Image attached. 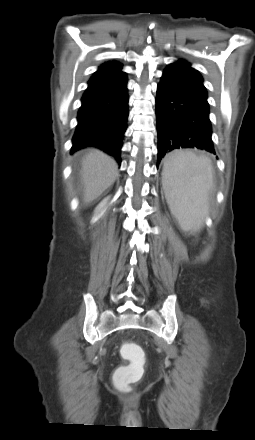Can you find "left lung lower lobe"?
Returning a JSON list of instances; mask_svg holds the SVG:
<instances>
[{
	"label": "left lung lower lobe",
	"instance_id": "0a47b994",
	"mask_svg": "<svg viewBox=\"0 0 255 440\" xmlns=\"http://www.w3.org/2000/svg\"><path fill=\"white\" fill-rule=\"evenodd\" d=\"M207 91L178 71H163L156 94L157 163L170 151L198 148L215 154Z\"/></svg>",
	"mask_w": 255,
	"mask_h": 440
}]
</instances>
